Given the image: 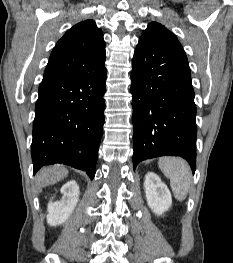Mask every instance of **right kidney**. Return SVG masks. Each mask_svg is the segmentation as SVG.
<instances>
[{"label": "right kidney", "instance_id": "right-kidney-1", "mask_svg": "<svg viewBox=\"0 0 233 263\" xmlns=\"http://www.w3.org/2000/svg\"><path fill=\"white\" fill-rule=\"evenodd\" d=\"M63 194L60 201H50L47 207V222L51 226L64 223L73 212L79 199V186L75 181L64 184L60 190Z\"/></svg>", "mask_w": 233, "mask_h": 263}]
</instances>
